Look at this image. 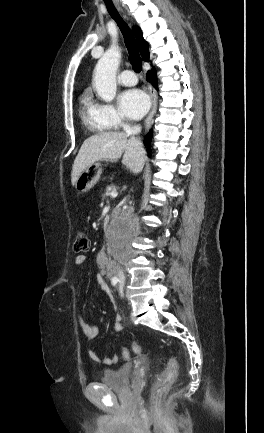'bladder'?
I'll list each match as a JSON object with an SVG mask.
<instances>
[{"instance_id":"1","label":"bladder","mask_w":264,"mask_h":433,"mask_svg":"<svg viewBox=\"0 0 264 433\" xmlns=\"http://www.w3.org/2000/svg\"><path fill=\"white\" fill-rule=\"evenodd\" d=\"M130 372V365L115 370L105 369L100 377V383L113 391L126 393L130 389Z\"/></svg>"}]
</instances>
